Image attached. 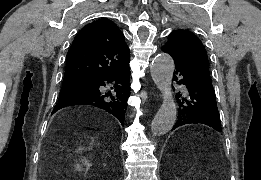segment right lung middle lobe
<instances>
[{"label":"right lung middle lobe","mask_w":261,"mask_h":180,"mask_svg":"<svg viewBox=\"0 0 261 180\" xmlns=\"http://www.w3.org/2000/svg\"><path fill=\"white\" fill-rule=\"evenodd\" d=\"M94 83V81H63L59 98L79 92L91 91Z\"/></svg>","instance_id":"dd1d6c3e"}]
</instances>
